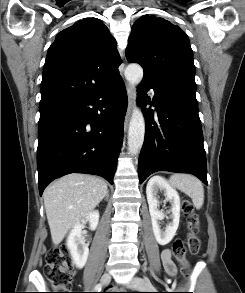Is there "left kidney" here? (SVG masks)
Segmentation results:
<instances>
[{"label": "left kidney", "mask_w": 245, "mask_h": 293, "mask_svg": "<svg viewBox=\"0 0 245 293\" xmlns=\"http://www.w3.org/2000/svg\"><path fill=\"white\" fill-rule=\"evenodd\" d=\"M159 190L164 191L166 200L171 203L172 222L168 224L165 230L161 229L160 221L164 219L165 214L158 210L157 194ZM147 201L149 204V212L151 216L153 233L156 241L160 245L168 244L176 234L180 220V197L178 192L168 184V182L160 177H152L146 187Z\"/></svg>", "instance_id": "5707ae66"}]
</instances>
